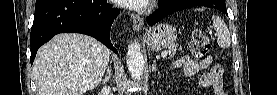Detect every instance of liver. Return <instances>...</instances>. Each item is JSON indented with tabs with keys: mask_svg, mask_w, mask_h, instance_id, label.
<instances>
[{
	"mask_svg": "<svg viewBox=\"0 0 277 95\" xmlns=\"http://www.w3.org/2000/svg\"><path fill=\"white\" fill-rule=\"evenodd\" d=\"M110 50L83 34H58L37 52L33 75L39 95H83L98 86Z\"/></svg>",
	"mask_w": 277,
	"mask_h": 95,
	"instance_id": "6515ba94",
	"label": "liver"
}]
</instances>
